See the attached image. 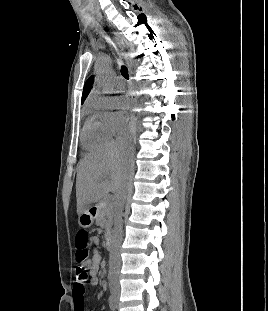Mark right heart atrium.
<instances>
[{"instance_id": "1", "label": "right heart atrium", "mask_w": 268, "mask_h": 311, "mask_svg": "<svg viewBox=\"0 0 268 311\" xmlns=\"http://www.w3.org/2000/svg\"><path fill=\"white\" fill-rule=\"evenodd\" d=\"M88 108L111 136L125 128L124 118L119 112L114 110V105L110 98L92 97Z\"/></svg>"}]
</instances>
